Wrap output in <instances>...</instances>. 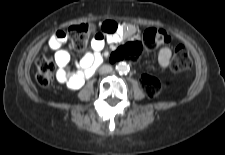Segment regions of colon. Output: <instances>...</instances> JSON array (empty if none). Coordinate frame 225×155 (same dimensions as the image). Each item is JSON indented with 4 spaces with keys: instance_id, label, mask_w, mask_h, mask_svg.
Masks as SVG:
<instances>
[{
    "instance_id": "colon-1",
    "label": "colon",
    "mask_w": 225,
    "mask_h": 155,
    "mask_svg": "<svg viewBox=\"0 0 225 155\" xmlns=\"http://www.w3.org/2000/svg\"><path fill=\"white\" fill-rule=\"evenodd\" d=\"M67 31L70 34V46L75 51H83L92 35L95 34V26L92 23H81L70 26ZM95 36V35H94ZM171 37L163 29L148 28L142 35V41H132L114 50L109 58V63L113 67L121 65L122 61H140L143 56L148 55L160 45L167 44ZM191 66V57L188 50L183 45L175 48L171 61V69L175 72L185 71ZM55 76V65L48 55L42 54L36 60L35 78L42 87L49 86ZM142 87L145 93L154 97L170 87L169 82L161 83L150 75L142 76Z\"/></svg>"
}]
</instances>
